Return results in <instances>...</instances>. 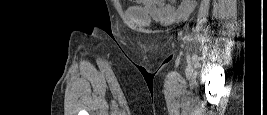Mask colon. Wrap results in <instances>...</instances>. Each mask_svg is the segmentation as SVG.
Instances as JSON below:
<instances>
[{
    "label": "colon",
    "instance_id": "colon-1",
    "mask_svg": "<svg viewBox=\"0 0 267 115\" xmlns=\"http://www.w3.org/2000/svg\"><path fill=\"white\" fill-rule=\"evenodd\" d=\"M182 3H190V2H193L192 0H182L181 1Z\"/></svg>",
    "mask_w": 267,
    "mask_h": 115
}]
</instances>
